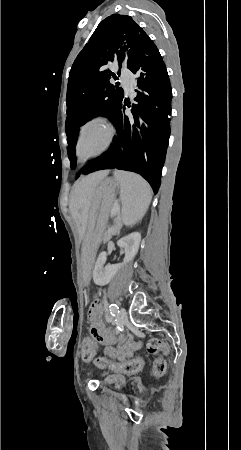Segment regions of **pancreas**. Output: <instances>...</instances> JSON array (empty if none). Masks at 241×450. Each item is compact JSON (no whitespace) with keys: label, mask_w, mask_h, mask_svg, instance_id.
Here are the masks:
<instances>
[{"label":"pancreas","mask_w":241,"mask_h":450,"mask_svg":"<svg viewBox=\"0 0 241 450\" xmlns=\"http://www.w3.org/2000/svg\"><path fill=\"white\" fill-rule=\"evenodd\" d=\"M116 220H119V218H115V222H116ZM111 230V229H110ZM113 234H115V232H113ZM103 241L105 242V243H108L109 241H110V238L108 237V236H105L104 238H103Z\"/></svg>","instance_id":"1"}]
</instances>
